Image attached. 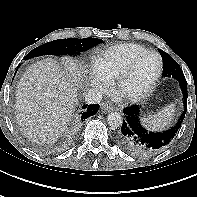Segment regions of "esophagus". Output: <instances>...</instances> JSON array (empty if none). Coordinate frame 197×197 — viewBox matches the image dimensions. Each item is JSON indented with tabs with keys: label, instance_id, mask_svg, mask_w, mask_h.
<instances>
[{
	"label": "esophagus",
	"instance_id": "1",
	"mask_svg": "<svg viewBox=\"0 0 197 197\" xmlns=\"http://www.w3.org/2000/svg\"><path fill=\"white\" fill-rule=\"evenodd\" d=\"M114 109H115L114 106L111 103H109V102H104L101 105V110L104 113L110 112V111H112Z\"/></svg>",
	"mask_w": 197,
	"mask_h": 197
}]
</instances>
